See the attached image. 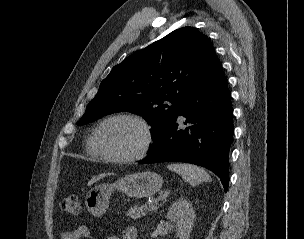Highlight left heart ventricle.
<instances>
[{
	"mask_svg": "<svg viewBox=\"0 0 304 239\" xmlns=\"http://www.w3.org/2000/svg\"><path fill=\"white\" fill-rule=\"evenodd\" d=\"M98 139L104 151L116 156H128L140 149L144 132L136 122L119 119L105 124Z\"/></svg>",
	"mask_w": 304,
	"mask_h": 239,
	"instance_id": "obj_1",
	"label": "left heart ventricle"
}]
</instances>
